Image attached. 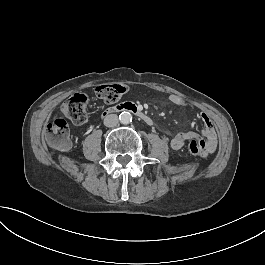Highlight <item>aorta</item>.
I'll return each mask as SVG.
<instances>
[{
  "instance_id": "762f6f07",
  "label": "aorta",
  "mask_w": 265,
  "mask_h": 265,
  "mask_svg": "<svg viewBox=\"0 0 265 265\" xmlns=\"http://www.w3.org/2000/svg\"><path fill=\"white\" fill-rule=\"evenodd\" d=\"M119 120L122 124H129L132 121V115L130 112L127 111H123L120 115H119Z\"/></svg>"
}]
</instances>
